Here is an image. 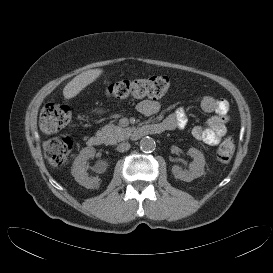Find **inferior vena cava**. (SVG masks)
Here are the masks:
<instances>
[{"label":"inferior vena cava","mask_w":273,"mask_h":273,"mask_svg":"<svg viewBox=\"0 0 273 273\" xmlns=\"http://www.w3.org/2000/svg\"><path fill=\"white\" fill-rule=\"evenodd\" d=\"M130 144L128 142H123L117 145V151L119 152H126L130 149Z\"/></svg>","instance_id":"602c4592"}]
</instances>
